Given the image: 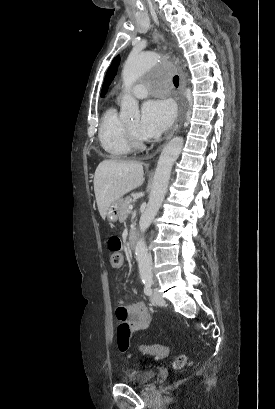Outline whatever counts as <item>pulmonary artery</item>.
Segmentation results:
<instances>
[{
	"label": "pulmonary artery",
	"mask_w": 275,
	"mask_h": 409,
	"mask_svg": "<svg viewBox=\"0 0 275 409\" xmlns=\"http://www.w3.org/2000/svg\"><path fill=\"white\" fill-rule=\"evenodd\" d=\"M146 91H147V88H146L145 85H136L134 87V95L137 98H144L146 96V94H147ZM117 100L120 101L121 96H118Z\"/></svg>",
	"instance_id": "pulmonary-artery-1"
}]
</instances>
